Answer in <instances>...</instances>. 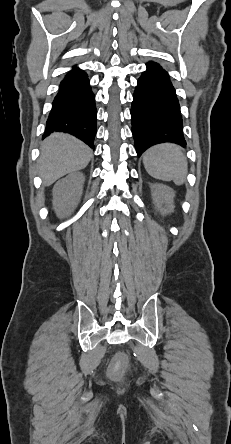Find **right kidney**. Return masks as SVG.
Here are the masks:
<instances>
[{"mask_svg": "<svg viewBox=\"0 0 231 444\" xmlns=\"http://www.w3.org/2000/svg\"><path fill=\"white\" fill-rule=\"evenodd\" d=\"M85 178L81 173H71L59 180L53 188V207L59 217L72 212L78 204Z\"/></svg>", "mask_w": 231, "mask_h": 444, "instance_id": "obj_1", "label": "right kidney"}]
</instances>
